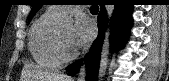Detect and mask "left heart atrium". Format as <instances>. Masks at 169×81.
Here are the masks:
<instances>
[{"label":"left heart atrium","instance_id":"39dd6f15","mask_svg":"<svg viewBox=\"0 0 169 81\" xmlns=\"http://www.w3.org/2000/svg\"><path fill=\"white\" fill-rule=\"evenodd\" d=\"M92 25L84 15H77L71 28L70 43L73 48L85 45L91 38Z\"/></svg>","mask_w":169,"mask_h":81}]
</instances>
